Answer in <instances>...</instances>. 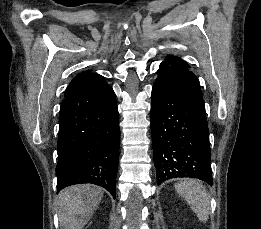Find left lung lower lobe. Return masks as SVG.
Wrapping results in <instances>:
<instances>
[{
	"mask_svg": "<svg viewBox=\"0 0 261 229\" xmlns=\"http://www.w3.org/2000/svg\"><path fill=\"white\" fill-rule=\"evenodd\" d=\"M152 88L151 132L159 180L198 178L213 184L208 125L198 78L162 62Z\"/></svg>",
	"mask_w": 261,
	"mask_h": 229,
	"instance_id": "left-lung-lower-lobe-1",
	"label": "left lung lower lobe"
}]
</instances>
